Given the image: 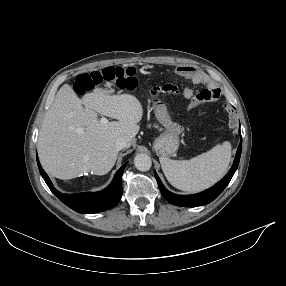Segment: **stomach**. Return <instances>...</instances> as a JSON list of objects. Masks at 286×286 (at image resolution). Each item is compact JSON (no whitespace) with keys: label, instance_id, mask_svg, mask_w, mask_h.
Returning <instances> with one entry per match:
<instances>
[{"label":"stomach","instance_id":"0dacf381","mask_svg":"<svg viewBox=\"0 0 286 286\" xmlns=\"http://www.w3.org/2000/svg\"><path fill=\"white\" fill-rule=\"evenodd\" d=\"M166 111L169 114L167 107ZM170 115V114H169ZM154 150L160 156L167 157L173 155L179 148V138L164 131L154 142Z\"/></svg>","mask_w":286,"mask_h":286}]
</instances>
